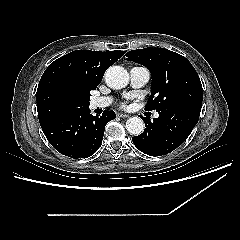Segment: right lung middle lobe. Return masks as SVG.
I'll return each mask as SVG.
<instances>
[{"instance_id":"1","label":"right lung middle lobe","mask_w":240,"mask_h":240,"mask_svg":"<svg viewBox=\"0 0 240 240\" xmlns=\"http://www.w3.org/2000/svg\"><path fill=\"white\" fill-rule=\"evenodd\" d=\"M90 92H88L87 94H85V96L83 97V100H82V107L83 108H88L89 107V98H90Z\"/></svg>"}]
</instances>
